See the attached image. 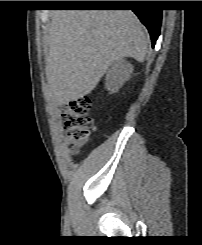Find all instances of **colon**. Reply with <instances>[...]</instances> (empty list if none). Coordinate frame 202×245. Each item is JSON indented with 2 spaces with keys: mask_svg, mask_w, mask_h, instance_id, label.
<instances>
[{
  "mask_svg": "<svg viewBox=\"0 0 202 245\" xmlns=\"http://www.w3.org/2000/svg\"><path fill=\"white\" fill-rule=\"evenodd\" d=\"M90 109L91 101L88 98L72 100L59 109L73 153L85 145L90 135L93 126Z\"/></svg>",
  "mask_w": 202,
  "mask_h": 245,
  "instance_id": "obj_1",
  "label": "colon"
}]
</instances>
